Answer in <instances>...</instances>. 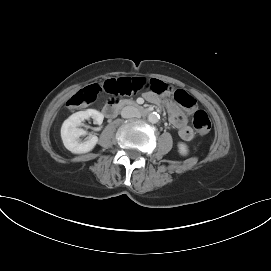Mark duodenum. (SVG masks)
I'll use <instances>...</instances> for the list:
<instances>
[{
	"label": "duodenum",
	"mask_w": 271,
	"mask_h": 271,
	"mask_svg": "<svg viewBox=\"0 0 271 271\" xmlns=\"http://www.w3.org/2000/svg\"><path fill=\"white\" fill-rule=\"evenodd\" d=\"M124 106H131L141 115H147L150 111L142 106L136 105L130 101H109L103 108V113L107 118H113L117 115L118 111Z\"/></svg>",
	"instance_id": "410a0bca"
}]
</instances>
